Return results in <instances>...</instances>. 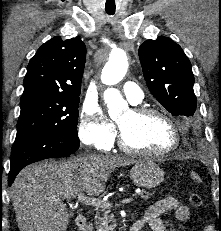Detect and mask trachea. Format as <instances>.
<instances>
[{"label": "trachea", "mask_w": 221, "mask_h": 231, "mask_svg": "<svg viewBox=\"0 0 221 231\" xmlns=\"http://www.w3.org/2000/svg\"><path fill=\"white\" fill-rule=\"evenodd\" d=\"M106 13L109 14V15H113L115 13V11L106 10Z\"/></svg>", "instance_id": "trachea-1"}]
</instances>
